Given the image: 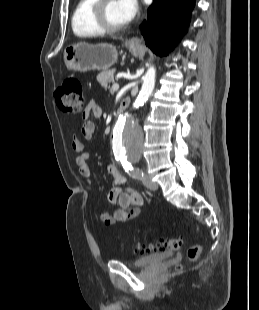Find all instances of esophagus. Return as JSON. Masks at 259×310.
Returning <instances> with one entry per match:
<instances>
[{
  "label": "esophagus",
  "mask_w": 259,
  "mask_h": 310,
  "mask_svg": "<svg viewBox=\"0 0 259 310\" xmlns=\"http://www.w3.org/2000/svg\"><path fill=\"white\" fill-rule=\"evenodd\" d=\"M129 45L133 48H141L142 46V39L139 37H133L129 40Z\"/></svg>",
  "instance_id": "34e87169"
}]
</instances>
